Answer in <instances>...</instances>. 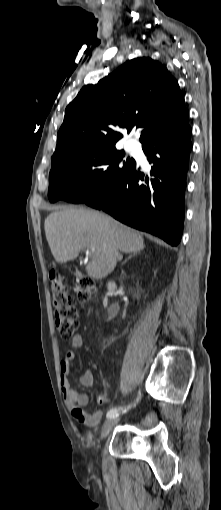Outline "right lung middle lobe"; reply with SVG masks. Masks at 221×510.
Returning <instances> with one entry per match:
<instances>
[{
  "label": "right lung middle lobe",
  "instance_id": "obj_1",
  "mask_svg": "<svg viewBox=\"0 0 221 510\" xmlns=\"http://www.w3.org/2000/svg\"><path fill=\"white\" fill-rule=\"evenodd\" d=\"M136 166L115 145L72 152L52 166L49 174L50 202L63 199L85 203L112 188Z\"/></svg>",
  "mask_w": 221,
  "mask_h": 510
}]
</instances>
